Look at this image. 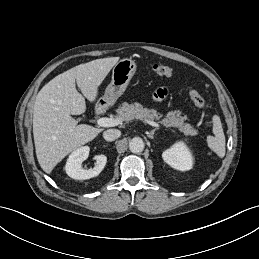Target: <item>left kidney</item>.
<instances>
[{
    "mask_svg": "<svg viewBox=\"0 0 259 259\" xmlns=\"http://www.w3.org/2000/svg\"><path fill=\"white\" fill-rule=\"evenodd\" d=\"M163 160L172 168L187 171L193 166V158L184 143L178 142L162 154Z\"/></svg>",
    "mask_w": 259,
    "mask_h": 259,
    "instance_id": "1",
    "label": "left kidney"
}]
</instances>
